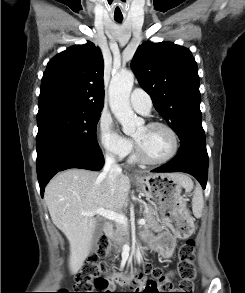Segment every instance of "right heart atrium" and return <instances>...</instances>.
I'll list each match as a JSON object with an SVG mask.
<instances>
[{
	"label": "right heart atrium",
	"mask_w": 245,
	"mask_h": 293,
	"mask_svg": "<svg viewBox=\"0 0 245 293\" xmlns=\"http://www.w3.org/2000/svg\"><path fill=\"white\" fill-rule=\"evenodd\" d=\"M98 136L100 144L109 157L121 159L132 150L131 141L119 135L108 118L102 117L100 119Z\"/></svg>",
	"instance_id": "d8ad5b80"
}]
</instances>
